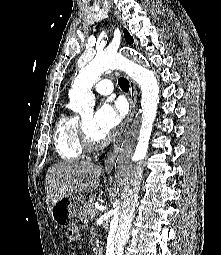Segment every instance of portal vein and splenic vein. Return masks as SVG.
I'll return each mask as SVG.
<instances>
[{"label": "portal vein and splenic vein", "mask_w": 221, "mask_h": 255, "mask_svg": "<svg viewBox=\"0 0 221 255\" xmlns=\"http://www.w3.org/2000/svg\"><path fill=\"white\" fill-rule=\"evenodd\" d=\"M98 214L97 210L94 209L93 212H92V216H96Z\"/></svg>", "instance_id": "1"}]
</instances>
